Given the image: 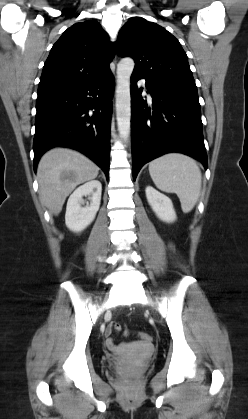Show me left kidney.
I'll use <instances>...</instances> for the list:
<instances>
[{"mask_svg":"<svg viewBox=\"0 0 248 419\" xmlns=\"http://www.w3.org/2000/svg\"><path fill=\"white\" fill-rule=\"evenodd\" d=\"M145 192L149 205L160 220L167 223H172L176 220V213L170 198L152 186H147Z\"/></svg>","mask_w":248,"mask_h":419,"instance_id":"5707ae66","label":"left kidney"}]
</instances>
